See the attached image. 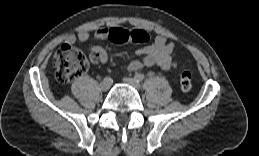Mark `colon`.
I'll list each match as a JSON object with an SVG mask.
<instances>
[{"mask_svg":"<svg viewBox=\"0 0 259 156\" xmlns=\"http://www.w3.org/2000/svg\"><path fill=\"white\" fill-rule=\"evenodd\" d=\"M109 40L116 44L145 43L149 41V35L141 29L124 30L113 29L109 34ZM53 67L56 77L61 83H69L80 77L88 68V59L85 54L69 44L62 45L53 57ZM180 87L182 91L189 92L192 89V76L189 71H183L180 75Z\"/></svg>","mask_w":259,"mask_h":156,"instance_id":"5ec220e1","label":"colon"}]
</instances>
